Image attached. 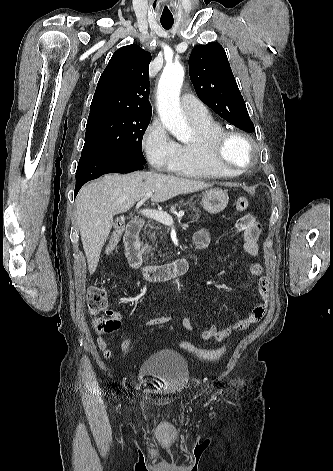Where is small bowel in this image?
Masks as SVG:
<instances>
[{
    "label": "small bowel",
    "mask_w": 333,
    "mask_h": 471,
    "mask_svg": "<svg viewBox=\"0 0 333 471\" xmlns=\"http://www.w3.org/2000/svg\"><path fill=\"white\" fill-rule=\"evenodd\" d=\"M261 227L257 220L251 215H245L241 217L235 226L236 233H242L244 238L243 248L246 253L251 256L258 254V238L260 235ZM194 245L197 249H204L209 245L210 236L206 229L198 230L193 237ZM251 275L259 278L258 292L260 300L254 305L249 315L236 321L230 326L219 329L215 324H211L208 328L201 332L202 339L216 340L217 342L224 341L228 336L235 332L243 331L250 327L252 324L259 322L266 314L268 304L271 297L270 281L264 274L263 266L259 263H253L249 267ZM113 318L119 320L121 315L117 312L112 313ZM147 326H160L166 324H177L186 331H192L193 325L190 319L184 317L180 319L173 318L171 316H158L148 318L145 322ZM97 345L103 352L106 359L111 358L112 351L108 347V343L104 336L99 335L97 337Z\"/></svg>",
    "instance_id": "1"
}]
</instances>
